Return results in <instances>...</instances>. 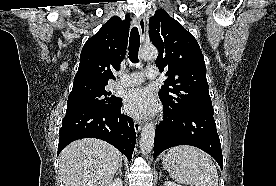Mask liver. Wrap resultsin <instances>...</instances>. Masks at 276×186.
Wrapping results in <instances>:
<instances>
[{
  "label": "liver",
  "mask_w": 276,
  "mask_h": 186,
  "mask_svg": "<svg viewBox=\"0 0 276 186\" xmlns=\"http://www.w3.org/2000/svg\"><path fill=\"white\" fill-rule=\"evenodd\" d=\"M122 158L105 141L94 138L74 141L59 155L64 186H108L122 165Z\"/></svg>",
  "instance_id": "6515ba94"
}]
</instances>
